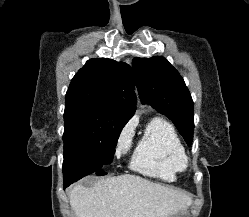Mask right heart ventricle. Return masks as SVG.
Instances as JSON below:
<instances>
[{"mask_svg":"<svg viewBox=\"0 0 249 217\" xmlns=\"http://www.w3.org/2000/svg\"><path fill=\"white\" fill-rule=\"evenodd\" d=\"M185 157V148L175 128L165 119L155 117L142 134L130 167L145 176L173 182L184 170Z\"/></svg>","mask_w":249,"mask_h":217,"instance_id":"obj_1","label":"right heart ventricle"}]
</instances>
